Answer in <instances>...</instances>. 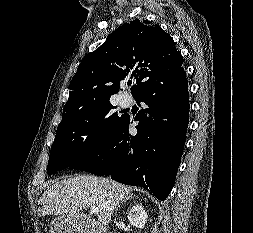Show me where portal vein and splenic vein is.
<instances>
[{
	"instance_id": "obj_1",
	"label": "portal vein and splenic vein",
	"mask_w": 253,
	"mask_h": 233,
	"mask_svg": "<svg viewBox=\"0 0 253 233\" xmlns=\"http://www.w3.org/2000/svg\"><path fill=\"white\" fill-rule=\"evenodd\" d=\"M90 211H91L92 214H98L99 209L97 207L93 206V207L90 208Z\"/></svg>"
}]
</instances>
